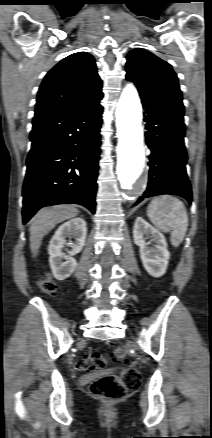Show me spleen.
I'll return each mask as SVG.
<instances>
[{
  "label": "spleen",
  "instance_id": "1",
  "mask_svg": "<svg viewBox=\"0 0 212 438\" xmlns=\"http://www.w3.org/2000/svg\"><path fill=\"white\" fill-rule=\"evenodd\" d=\"M147 215L158 229L171 233L174 247L182 243L188 228V214L181 200L170 195L157 196L148 205Z\"/></svg>",
  "mask_w": 212,
  "mask_h": 438
}]
</instances>
